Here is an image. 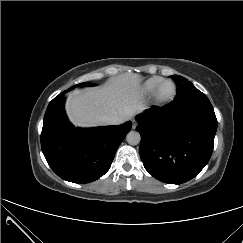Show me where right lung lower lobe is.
Returning <instances> with one entry per match:
<instances>
[{
  "instance_id": "98d812e1",
  "label": "right lung lower lobe",
  "mask_w": 243,
  "mask_h": 243,
  "mask_svg": "<svg viewBox=\"0 0 243 243\" xmlns=\"http://www.w3.org/2000/svg\"><path fill=\"white\" fill-rule=\"evenodd\" d=\"M92 85L86 82L82 86ZM77 86L63 91L49 103L44 116L41 147L49 166L59 177L83 184L97 180L109 170L132 122L91 129L74 128L63 106L65 93Z\"/></svg>"
}]
</instances>
